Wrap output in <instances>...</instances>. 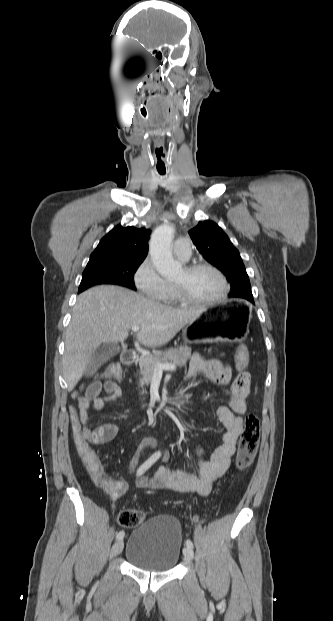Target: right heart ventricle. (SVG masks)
I'll list each match as a JSON object with an SVG mask.
<instances>
[{
	"instance_id": "obj_1",
	"label": "right heart ventricle",
	"mask_w": 333,
	"mask_h": 621,
	"mask_svg": "<svg viewBox=\"0 0 333 621\" xmlns=\"http://www.w3.org/2000/svg\"><path fill=\"white\" fill-rule=\"evenodd\" d=\"M166 304H170V305H174L177 303H180L181 301L178 299V297L175 294V291L173 289V285L172 284H168V289L163 297V299L161 300Z\"/></svg>"
}]
</instances>
